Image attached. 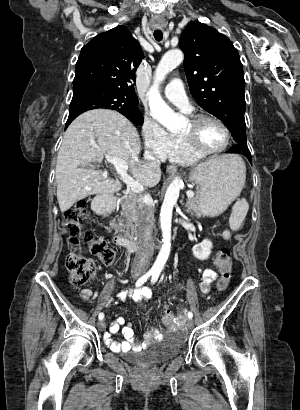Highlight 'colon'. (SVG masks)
<instances>
[{"mask_svg": "<svg viewBox=\"0 0 300 410\" xmlns=\"http://www.w3.org/2000/svg\"><path fill=\"white\" fill-rule=\"evenodd\" d=\"M86 205L87 202L85 200H80L64 214V225L68 230L69 242L75 248L81 244H87L92 255L96 256L104 265L112 266L116 262L114 249L104 238L96 236L84 225L87 216ZM215 262L221 272L217 281V290L223 291L228 287L230 281V250L228 248L220 249L216 254ZM66 268L68 271V281L74 286L86 284L95 272L93 261L78 251H73L68 254L66 257ZM163 319L164 322L171 327L177 323L175 314L169 310L164 313Z\"/></svg>", "mask_w": 300, "mask_h": 410, "instance_id": "colon-1", "label": "colon"}]
</instances>
